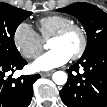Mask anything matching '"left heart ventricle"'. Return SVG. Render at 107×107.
Segmentation results:
<instances>
[{
	"instance_id": "1",
	"label": "left heart ventricle",
	"mask_w": 107,
	"mask_h": 107,
	"mask_svg": "<svg viewBox=\"0 0 107 107\" xmlns=\"http://www.w3.org/2000/svg\"><path fill=\"white\" fill-rule=\"evenodd\" d=\"M81 45L80 33L76 30L69 32L61 39H53L49 42L50 49H61L70 56L74 54Z\"/></svg>"
}]
</instances>
